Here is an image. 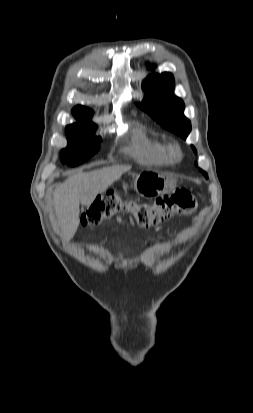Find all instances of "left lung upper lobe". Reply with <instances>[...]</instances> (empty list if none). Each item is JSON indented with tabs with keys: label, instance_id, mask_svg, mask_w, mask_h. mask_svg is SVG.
Listing matches in <instances>:
<instances>
[{
	"label": "left lung upper lobe",
	"instance_id": "left-lung-upper-lobe-1",
	"mask_svg": "<svg viewBox=\"0 0 253 413\" xmlns=\"http://www.w3.org/2000/svg\"><path fill=\"white\" fill-rule=\"evenodd\" d=\"M142 88L146 97L139 104V107L165 129L186 139L191 131V123L184 116L183 101L173 93L174 78L172 74L165 72L150 75L143 81ZM192 148L197 153L194 146ZM202 173L208 178L206 172L202 171Z\"/></svg>",
	"mask_w": 253,
	"mask_h": 413
}]
</instances>
